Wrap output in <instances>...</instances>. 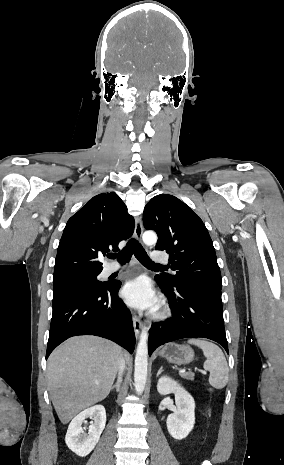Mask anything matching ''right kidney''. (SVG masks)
I'll use <instances>...</instances> for the list:
<instances>
[{
	"instance_id": "1",
	"label": "right kidney",
	"mask_w": 284,
	"mask_h": 465,
	"mask_svg": "<svg viewBox=\"0 0 284 465\" xmlns=\"http://www.w3.org/2000/svg\"><path fill=\"white\" fill-rule=\"evenodd\" d=\"M93 417V423H90L89 433L86 435L82 429L85 419ZM106 425V413L102 405H95L90 409H85L71 421L66 433L65 441L67 447L76 453L78 457H86L93 451L97 445L102 431Z\"/></svg>"
}]
</instances>
